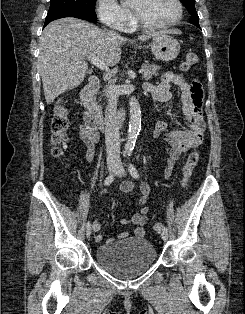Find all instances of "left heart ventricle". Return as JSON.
<instances>
[{
	"label": "left heart ventricle",
	"instance_id": "obj_1",
	"mask_svg": "<svg viewBox=\"0 0 245 314\" xmlns=\"http://www.w3.org/2000/svg\"><path fill=\"white\" fill-rule=\"evenodd\" d=\"M131 8L141 19L152 23H166L177 15L174 0H132Z\"/></svg>",
	"mask_w": 245,
	"mask_h": 314
}]
</instances>
